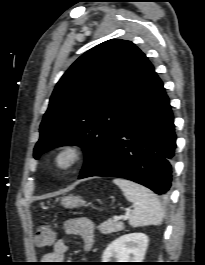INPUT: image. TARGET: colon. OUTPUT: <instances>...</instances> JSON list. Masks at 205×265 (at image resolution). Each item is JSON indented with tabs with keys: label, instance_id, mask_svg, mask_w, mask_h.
Segmentation results:
<instances>
[{
	"label": "colon",
	"instance_id": "5ec220e1",
	"mask_svg": "<svg viewBox=\"0 0 205 265\" xmlns=\"http://www.w3.org/2000/svg\"><path fill=\"white\" fill-rule=\"evenodd\" d=\"M34 242L39 248L53 246L55 242V233L52 227L46 223L39 225L34 236Z\"/></svg>",
	"mask_w": 205,
	"mask_h": 265
}]
</instances>
